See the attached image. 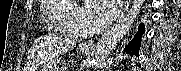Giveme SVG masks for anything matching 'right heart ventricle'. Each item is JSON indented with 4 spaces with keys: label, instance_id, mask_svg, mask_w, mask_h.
Masks as SVG:
<instances>
[{
    "label": "right heart ventricle",
    "instance_id": "e07e8e85",
    "mask_svg": "<svg viewBox=\"0 0 181 71\" xmlns=\"http://www.w3.org/2000/svg\"><path fill=\"white\" fill-rule=\"evenodd\" d=\"M41 2L42 20L50 30L69 36L79 33L77 17L80 11L73 1L44 0Z\"/></svg>",
    "mask_w": 181,
    "mask_h": 71
}]
</instances>
